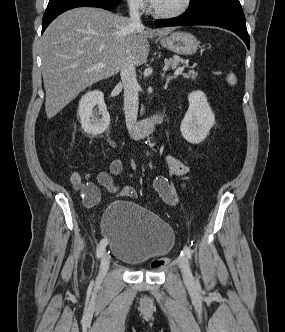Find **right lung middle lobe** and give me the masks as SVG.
Returning a JSON list of instances; mask_svg holds the SVG:
<instances>
[{
  "instance_id": "obj_1",
  "label": "right lung middle lobe",
  "mask_w": 285,
  "mask_h": 332,
  "mask_svg": "<svg viewBox=\"0 0 285 332\" xmlns=\"http://www.w3.org/2000/svg\"><path fill=\"white\" fill-rule=\"evenodd\" d=\"M108 1H120V0H108Z\"/></svg>"
}]
</instances>
